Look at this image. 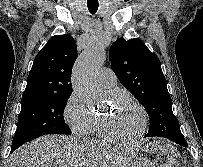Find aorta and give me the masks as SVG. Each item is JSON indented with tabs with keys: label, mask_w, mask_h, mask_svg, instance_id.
Listing matches in <instances>:
<instances>
[{
	"label": "aorta",
	"mask_w": 203,
	"mask_h": 167,
	"mask_svg": "<svg viewBox=\"0 0 203 167\" xmlns=\"http://www.w3.org/2000/svg\"><path fill=\"white\" fill-rule=\"evenodd\" d=\"M105 58L104 49L96 43H91L74 66L73 90L89 106L95 105L101 98V91L96 83V72L103 65Z\"/></svg>",
	"instance_id": "1"
}]
</instances>
